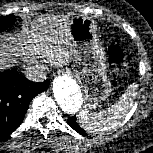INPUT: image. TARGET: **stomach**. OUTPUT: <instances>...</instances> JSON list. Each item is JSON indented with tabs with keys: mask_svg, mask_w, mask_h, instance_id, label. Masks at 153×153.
<instances>
[{
	"mask_svg": "<svg viewBox=\"0 0 153 153\" xmlns=\"http://www.w3.org/2000/svg\"><path fill=\"white\" fill-rule=\"evenodd\" d=\"M96 31L97 25L91 18L75 16L70 20L73 56L82 65V69L76 72V78L84 90L89 108H95L106 100L112 91L106 56Z\"/></svg>",
	"mask_w": 153,
	"mask_h": 153,
	"instance_id": "stomach-1",
	"label": "stomach"
}]
</instances>
